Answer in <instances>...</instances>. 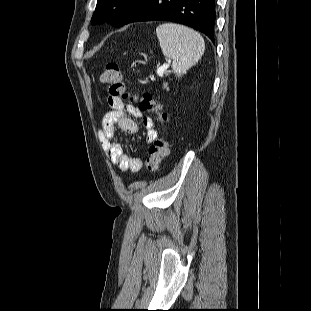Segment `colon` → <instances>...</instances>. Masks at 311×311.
Masks as SVG:
<instances>
[{
	"label": "colon",
	"instance_id": "colon-1",
	"mask_svg": "<svg viewBox=\"0 0 311 311\" xmlns=\"http://www.w3.org/2000/svg\"><path fill=\"white\" fill-rule=\"evenodd\" d=\"M100 81L105 87L108 97L120 98L122 100H130L138 104L141 112H153L156 114L157 120L165 126L169 116L160 105V103L150 94L144 93L141 96L131 93L127 90L121 69L116 63H108L105 65ZM166 129L163 128L162 136L155 139L149 148V155L146 159V169L149 172L158 171L161 162L168 155V143L165 138Z\"/></svg>",
	"mask_w": 311,
	"mask_h": 311
}]
</instances>
